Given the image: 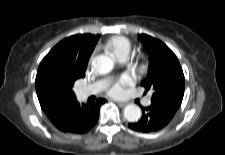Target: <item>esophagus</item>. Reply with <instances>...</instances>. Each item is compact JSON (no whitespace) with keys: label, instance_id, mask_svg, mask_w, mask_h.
I'll use <instances>...</instances> for the list:
<instances>
[{"label":"esophagus","instance_id":"1","mask_svg":"<svg viewBox=\"0 0 225 155\" xmlns=\"http://www.w3.org/2000/svg\"><path fill=\"white\" fill-rule=\"evenodd\" d=\"M116 103H117L120 107H124V106H126V104H127V103L121 102V101H116Z\"/></svg>","mask_w":225,"mask_h":155}]
</instances>
